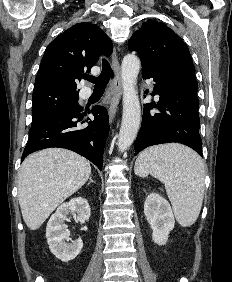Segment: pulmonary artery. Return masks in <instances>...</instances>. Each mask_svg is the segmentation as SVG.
<instances>
[{
    "label": "pulmonary artery",
    "instance_id": "obj_1",
    "mask_svg": "<svg viewBox=\"0 0 232 282\" xmlns=\"http://www.w3.org/2000/svg\"><path fill=\"white\" fill-rule=\"evenodd\" d=\"M89 95H90V90L89 89L83 90V92H82V97L83 98H87V97H89Z\"/></svg>",
    "mask_w": 232,
    "mask_h": 282
}]
</instances>
